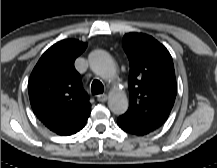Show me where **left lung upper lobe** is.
Returning <instances> with one entry per match:
<instances>
[{"label": "left lung upper lobe", "instance_id": "obj_1", "mask_svg": "<svg viewBox=\"0 0 217 168\" xmlns=\"http://www.w3.org/2000/svg\"><path fill=\"white\" fill-rule=\"evenodd\" d=\"M123 48L130 62V105L122 117L158 129L167 120L177 94L172 57L161 43L143 33L126 34Z\"/></svg>", "mask_w": 217, "mask_h": 168}]
</instances>
